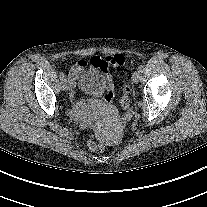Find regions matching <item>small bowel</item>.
I'll return each instance as SVG.
<instances>
[{
	"mask_svg": "<svg viewBox=\"0 0 207 207\" xmlns=\"http://www.w3.org/2000/svg\"><path fill=\"white\" fill-rule=\"evenodd\" d=\"M100 59H95L98 63ZM83 64H79L77 70H80ZM116 96V88L112 78L108 75L106 77V90L101 99L87 100L84 98H77L76 95L71 96V115H88L91 118L90 126L94 127L96 124V117L103 112L114 100Z\"/></svg>",
	"mask_w": 207,
	"mask_h": 207,
	"instance_id": "small-bowel-1",
	"label": "small bowel"
}]
</instances>
